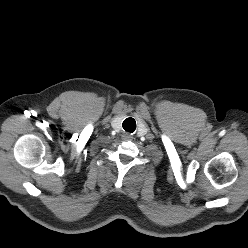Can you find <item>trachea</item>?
Segmentation results:
<instances>
[{
    "label": "trachea",
    "instance_id": "obj_1",
    "mask_svg": "<svg viewBox=\"0 0 248 248\" xmlns=\"http://www.w3.org/2000/svg\"><path fill=\"white\" fill-rule=\"evenodd\" d=\"M122 127L125 131L133 133L136 129V121L133 118H127L124 120Z\"/></svg>",
    "mask_w": 248,
    "mask_h": 248
}]
</instances>
